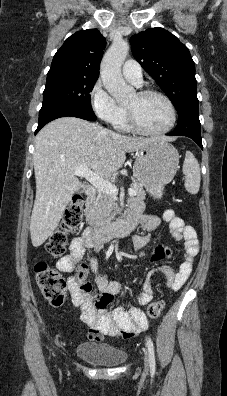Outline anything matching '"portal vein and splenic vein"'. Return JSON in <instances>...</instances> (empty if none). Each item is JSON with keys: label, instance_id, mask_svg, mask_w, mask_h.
Listing matches in <instances>:
<instances>
[{"label": "portal vein and splenic vein", "instance_id": "portal-vein-and-splenic-vein-1", "mask_svg": "<svg viewBox=\"0 0 227 396\" xmlns=\"http://www.w3.org/2000/svg\"><path fill=\"white\" fill-rule=\"evenodd\" d=\"M75 176L79 177H84L86 180H88L94 187L99 189L102 192H106L109 194L117 195L118 194V189L117 187L110 183L107 180H104L97 174L93 173L87 166L85 165H80L78 166L75 171H74ZM128 193L130 196H135L136 191L133 188L128 189Z\"/></svg>", "mask_w": 227, "mask_h": 396}]
</instances>
